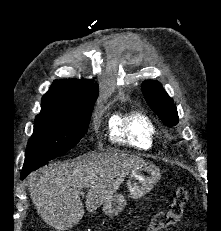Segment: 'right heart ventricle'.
Returning <instances> with one entry per match:
<instances>
[{"label": "right heart ventricle", "mask_w": 221, "mask_h": 231, "mask_svg": "<svg viewBox=\"0 0 221 231\" xmlns=\"http://www.w3.org/2000/svg\"><path fill=\"white\" fill-rule=\"evenodd\" d=\"M156 134L153 122L139 111L117 114L110 122V137L113 141L139 150L152 148Z\"/></svg>", "instance_id": "obj_1"}]
</instances>
